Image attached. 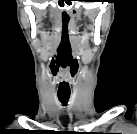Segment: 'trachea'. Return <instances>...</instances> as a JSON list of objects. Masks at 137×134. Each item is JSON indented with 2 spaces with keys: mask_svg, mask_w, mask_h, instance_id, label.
Segmentation results:
<instances>
[{
  "mask_svg": "<svg viewBox=\"0 0 137 134\" xmlns=\"http://www.w3.org/2000/svg\"><path fill=\"white\" fill-rule=\"evenodd\" d=\"M58 98L63 106H66L69 100V95H58Z\"/></svg>",
  "mask_w": 137,
  "mask_h": 134,
  "instance_id": "1",
  "label": "trachea"
}]
</instances>
